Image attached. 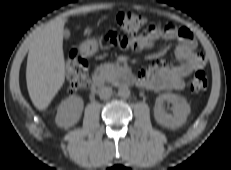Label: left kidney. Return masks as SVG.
<instances>
[{
    "instance_id": "1",
    "label": "left kidney",
    "mask_w": 231,
    "mask_h": 170,
    "mask_svg": "<svg viewBox=\"0 0 231 170\" xmlns=\"http://www.w3.org/2000/svg\"><path fill=\"white\" fill-rule=\"evenodd\" d=\"M164 102L173 105V114H167L164 111ZM191 108L186 99L176 94H162L156 98L154 107L155 120L162 126L176 128L181 126L190 114Z\"/></svg>"
}]
</instances>
